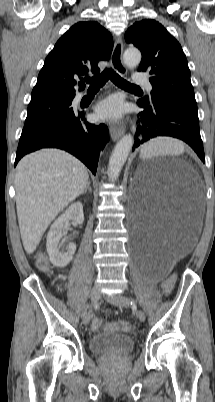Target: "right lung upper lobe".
Here are the masks:
<instances>
[{"label":"right lung upper lobe","mask_w":215,"mask_h":402,"mask_svg":"<svg viewBox=\"0 0 215 402\" xmlns=\"http://www.w3.org/2000/svg\"><path fill=\"white\" fill-rule=\"evenodd\" d=\"M113 49L111 34L95 21L73 25L45 59L31 100L49 97L74 98L76 79L99 73L97 63L108 60ZM85 84L79 82V90Z\"/></svg>","instance_id":"right-lung-upper-lobe-1"}]
</instances>
